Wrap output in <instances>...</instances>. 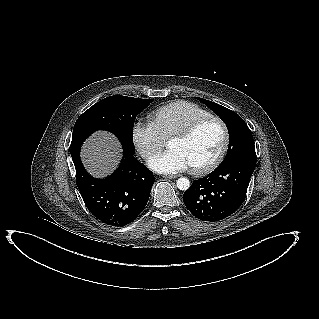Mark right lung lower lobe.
I'll return each mask as SVG.
<instances>
[{
	"instance_id": "98d812e1",
	"label": "right lung lower lobe",
	"mask_w": 319,
	"mask_h": 319,
	"mask_svg": "<svg viewBox=\"0 0 319 319\" xmlns=\"http://www.w3.org/2000/svg\"><path fill=\"white\" fill-rule=\"evenodd\" d=\"M80 147L71 148L76 169V184L84 203L101 222L122 227L133 220L145 208L154 175L132 154L123 153L117 170L104 179L90 176L80 160Z\"/></svg>"
}]
</instances>
